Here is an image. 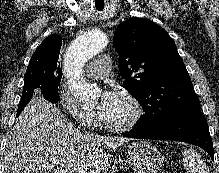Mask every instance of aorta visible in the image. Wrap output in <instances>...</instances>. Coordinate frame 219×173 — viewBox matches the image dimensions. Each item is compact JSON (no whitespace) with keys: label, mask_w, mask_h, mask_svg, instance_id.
<instances>
[{"label":"aorta","mask_w":219,"mask_h":173,"mask_svg":"<svg viewBox=\"0 0 219 173\" xmlns=\"http://www.w3.org/2000/svg\"><path fill=\"white\" fill-rule=\"evenodd\" d=\"M108 44V37L99 29H92L77 37L64 55V71L69 78L71 93L79 98L93 97L98 89L82 77L84 64L101 52Z\"/></svg>","instance_id":"obj_1"}]
</instances>
